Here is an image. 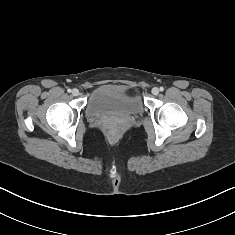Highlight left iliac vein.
Instances as JSON below:
<instances>
[{"label": "left iliac vein", "mask_w": 235, "mask_h": 235, "mask_svg": "<svg viewBox=\"0 0 235 235\" xmlns=\"http://www.w3.org/2000/svg\"><path fill=\"white\" fill-rule=\"evenodd\" d=\"M151 92H152L153 95H158L159 94V89L157 87H154Z\"/></svg>", "instance_id": "obj_1"}]
</instances>
